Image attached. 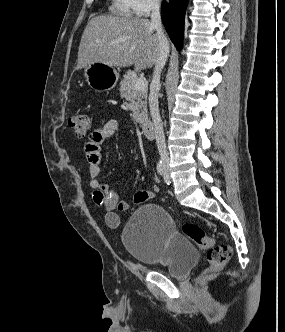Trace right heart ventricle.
<instances>
[{
  "label": "right heart ventricle",
  "instance_id": "1",
  "mask_svg": "<svg viewBox=\"0 0 285 332\" xmlns=\"http://www.w3.org/2000/svg\"><path fill=\"white\" fill-rule=\"evenodd\" d=\"M109 11L113 15L122 17H131L134 13L130 0H111Z\"/></svg>",
  "mask_w": 285,
  "mask_h": 332
}]
</instances>
